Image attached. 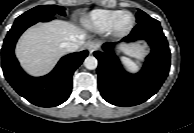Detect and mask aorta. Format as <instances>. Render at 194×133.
Masks as SVG:
<instances>
[{"mask_svg":"<svg viewBox=\"0 0 194 133\" xmlns=\"http://www.w3.org/2000/svg\"><path fill=\"white\" fill-rule=\"evenodd\" d=\"M84 66L89 70L96 69L98 66V60L94 56H88L84 60Z\"/></svg>","mask_w":194,"mask_h":133,"instance_id":"762f6f07","label":"aorta"}]
</instances>
